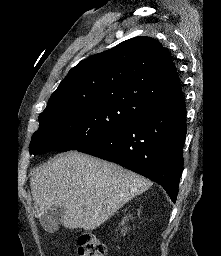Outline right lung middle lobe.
<instances>
[{
  "instance_id": "1",
  "label": "right lung middle lobe",
  "mask_w": 221,
  "mask_h": 256,
  "mask_svg": "<svg viewBox=\"0 0 221 256\" xmlns=\"http://www.w3.org/2000/svg\"><path fill=\"white\" fill-rule=\"evenodd\" d=\"M135 118L138 117L134 112L113 104L40 114L39 129L32 136L30 153L77 150Z\"/></svg>"
}]
</instances>
